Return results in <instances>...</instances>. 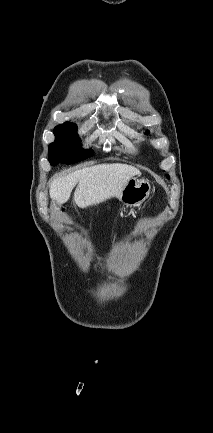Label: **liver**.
I'll return each mask as SVG.
<instances>
[{
    "mask_svg": "<svg viewBox=\"0 0 213 433\" xmlns=\"http://www.w3.org/2000/svg\"><path fill=\"white\" fill-rule=\"evenodd\" d=\"M140 171L125 164H100L57 177L50 183V197L58 204L66 203L73 188L74 201L81 208L118 197L129 179Z\"/></svg>",
    "mask_w": 213,
    "mask_h": 433,
    "instance_id": "liver-1",
    "label": "liver"
}]
</instances>
